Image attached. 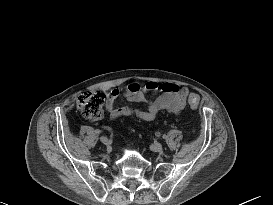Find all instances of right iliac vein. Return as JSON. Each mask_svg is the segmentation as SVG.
Returning <instances> with one entry per match:
<instances>
[{
	"label": "right iliac vein",
	"instance_id": "obj_1",
	"mask_svg": "<svg viewBox=\"0 0 273 205\" xmlns=\"http://www.w3.org/2000/svg\"><path fill=\"white\" fill-rule=\"evenodd\" d=\"M100 141L105 145H107L109 143V140L106 136H101Z\"/></svg>",
	"mask_w": 273,
	"mask_h": 205
}]
</instances>
